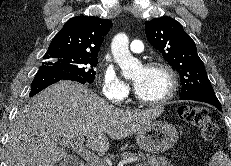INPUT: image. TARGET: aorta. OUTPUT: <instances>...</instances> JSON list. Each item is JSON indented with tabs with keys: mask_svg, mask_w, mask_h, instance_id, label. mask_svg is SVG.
Segmentation results:
<instances>
[{
	"mask_svg": "<svg viewBox=\"0 0 231 166\" xmlns=\"http://www.w3.org/2000/svg\"><path fill=\"white\" fill-rule=\"evenodd\" d=\"M128 45L129 39L124 33L117 34L111 44L114 60L121 68L124 77H131L142 67L141 62L131 55Z\"/></svg>",
	"mask_w": 231,
	"mask_h": 166,
	"instance_id": "762f6f07",
	"label": "aorta"
}]
</instances>
